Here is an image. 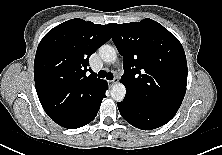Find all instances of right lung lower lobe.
Instances as JSON below:
<instances>
[{
  "label": "right lung lower lobe",
  "mask_w": 222,
  "mask_h": 155,
  "mask_svg": "<svg viewBox=\"0 0 222 155\" xmlns=\"http://www.w3.org/2000/svg\"><path fill=\"white\" fill-rule=\"evenodd\" d=\"M107 89L108 84L105 82L94 95L76 103L68 112L64 114H55L50 110H46V113L54 122L64 128H80L90 123L96 117L102 99L106 97L105 92Z\"/></svg>",
  "instance_id": "98d812e1"
}]
</instances>
